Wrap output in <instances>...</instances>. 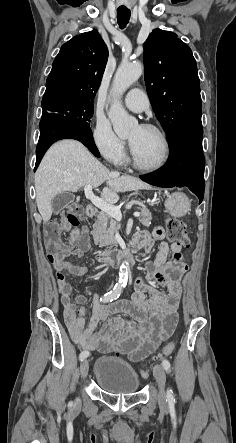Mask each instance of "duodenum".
Returning a JSON list of instances; mask_svg holds the SVG:
<instances>
[{
    "label": "duodenum",
    "mask_w": 236,
    "mask_h": 443,
    "mask_svg": "<svg viewBox=\"0 0 236 443\" xmlns=\"http://www.w3.org/2000/svg\"><path fill=\"white\" fill-rule=\"evenodd\" d=\"M96 208L93 204H89L86 208V215L90 218L96 216ZM136 258L135 252L130 253H109V252H98L97 260L101 264H114L121 265L124 262H133Z\"/></svg>",
    "instance_id": "obj_1"
}]
</instances>
